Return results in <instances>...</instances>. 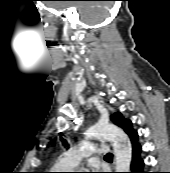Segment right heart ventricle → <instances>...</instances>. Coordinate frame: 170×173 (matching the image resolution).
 Here are the masks:
<instances>
[{"label":"right heart ventricle","mask_w":170,"mask_h":173,"mask_svg":"<svg viewBox=\"0 0 170 173\" xmlns=\"http://www.w3.org/2000/svg\"><path fill=\"white\" fill-rule=\"evenodd\" d=\"M65 165H66V159H65V156H62L58 159L56 168L57 169H66V168H68Z\"/></svg>","instance_id":"e07e8e85"}]
</instances>
